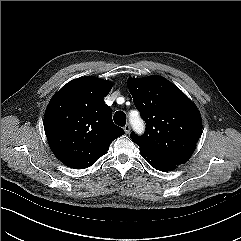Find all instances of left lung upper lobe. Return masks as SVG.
<instances>
[{
    "label": "left lung upper lobe",
    "instance_id": "left-lung-upper-lobe-1",
    "mask_svg": "<svg viewBox=\"0 0 241 241\" xmlns=\"http://www.w3.org/2000/svg\"><path fill=\"white\" fill-rule=\"evenodd\" d=\"M129 91L146 121L143 136L132 133L140 151L175 165L185 163L201 136L202 120L194 103L160 76L129 79Z\"/></svg>",
    "mask_w": 241,
    "mask_h": 241
}]
</instances>
